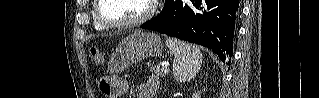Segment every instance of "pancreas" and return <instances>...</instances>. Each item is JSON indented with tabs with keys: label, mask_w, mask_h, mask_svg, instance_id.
<instances>
[{
	"label": "pancreas",
	"mask_w": 319,
	"mask_h": 98,
	"mask_svg": "<svg viewBox=\"0 0 319 98\" xmlns=\"http://www.w3.org/2000/svg\"><path fill=\"white\" fill-rule=\"evenodd\" d=\"M149 67H150V72L155 78L164 77L167 74V72L164 71L162 68H160V66L157 64H152V65L149 64Z\"/></svg>",
	"instance_id": "obj_1"
}]
</instances>
